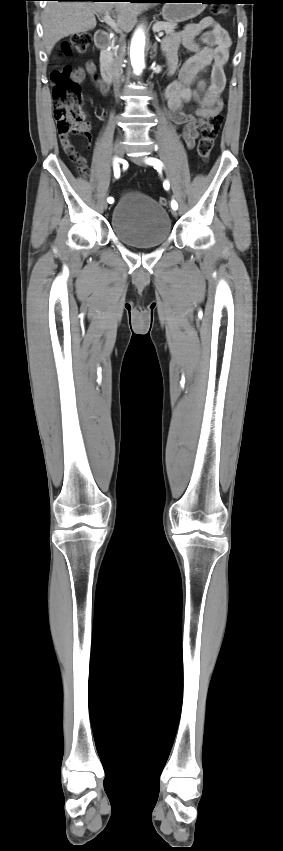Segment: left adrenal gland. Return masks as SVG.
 Masks as SVG:
<instances>
[{
    "label": "left adrenal gland",
    "mask_w": 283,
    "mask_h": 851,
    "mask_svg": "<svg viewBox=\"0 0 283 851\" xmlns=\"http://www.w3.org/2000/svg\"><path fill=\"white\" fill-rule=\"evenodd\" d=\"M156 49H157V43L154 44L153 51L156 52Z\"/></svg>",
    "instance_id": "obj_1"
}]
</instances>
